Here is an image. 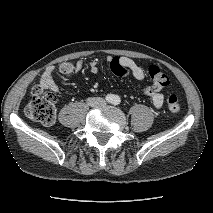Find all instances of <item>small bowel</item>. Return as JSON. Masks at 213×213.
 <instances>
[{
	"label": "small bowel",
	"mask_w": 213,
	"mask_h": 213,
	"mask_svg": "<svg viewBox=\"0 0 213 213\" xmlns=\"http://www.w3.org/2000/svg\"><path fill=\"white\" fill-rule=\"evenodd\" d=\"M114 59L115 58L108 57L106 59V64L111 66V63ZM117 59H119L122 63H125L129 66L130 72L136 80L143 81L145 79L144 69L140 67L139 65H137L134 61L126 57H120ZM75 67H76V71L81 70L83 67L82 62L81 61L76 62ZM89 68L92 73H96L98 71V62L97 61L90 62ZM54 72H55V67L53 65L47 66L44 72L42 73V76L40 79V86H42L45 89L58 93L59 88L53 78ZM143 93L144 95L148 96L151 99L152 104L156 109H159L162 107L164 103V96L159 90L155 89L152 86H147L144 88Z\"/></svg>",
	"instance_id": "c3829d8e"
}]
</instances>
